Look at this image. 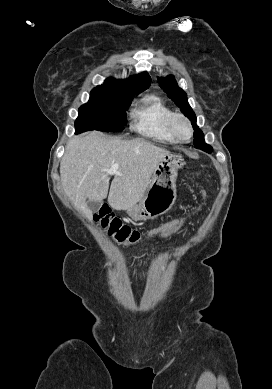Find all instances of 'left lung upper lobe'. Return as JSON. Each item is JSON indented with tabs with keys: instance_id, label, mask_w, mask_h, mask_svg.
I'll return each mask as SVG.
<instances>
[{
	"instance_id": "5c2ea615",
	"label": "left lung upper lobe",
	"mask_w": 272,
	"mask_h": 389,
	"mask_svg": "<svg viewBox=\"0 0 272 389\" xmlns=\"http://www.w3.org/2000/svg\"><path fill=\"white\" fill-rule=\"evenodd\" d=\"M160 87L167 93V95L179 106L183 114L191 121L194 132V146L205 152L211 153L213 148L206 144L202 131L196 125V116L187 101V94L181 89L174 79V76L169 75L165 78H158Z\"/></svg>"
}]
</instances>
